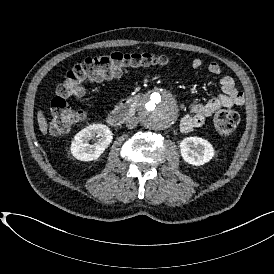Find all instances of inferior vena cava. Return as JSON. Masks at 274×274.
I'll use <instances>...</instances> for the list:
<instances>
[{"instance_id": "inferior-vena-cava-1", "label": "inferior vena cava", "mask_w": 274, "mask_h": 274, "mask_svg": "<svg viewBox=\"0 0 274 274\" xmlns=\"http://www.w3.org/2000/svg\"><path fill=\"white\" fill-rule=\"evenodd\" d=\"M138 124V118L137 117H131L126 120V127L128 129H133L137 126Z\"/></svg>"}]
</instances>
